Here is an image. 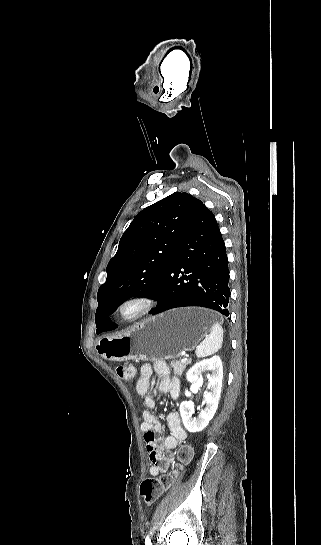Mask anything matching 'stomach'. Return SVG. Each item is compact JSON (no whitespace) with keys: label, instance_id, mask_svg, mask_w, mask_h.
<instances>
[{"label":"stomach","instance_id":"stomach-1","mask_svg":"<svg viewBox=\"0 0 321 545\" xmlns=\"http://www.w3.org/2000/svg\"><path fill=\"white\" fill-rule=\"evenodd\" d=\"M213 315L214 311L201 307L172 309L144 319L124 335L102 337L97 351L110 361L176 359L186 351H193L200 339L206 337Z\"/></svg>","mask_w":321,"mask_h":545}]
</instances>
